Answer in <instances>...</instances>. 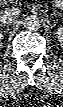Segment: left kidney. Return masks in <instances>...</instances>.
<instances>
[{"instance_id": "left-kidney-1", "label": "left kidney", "mask_w": 63, "mask_h": 107, "mask_svg": "<svg viewBox=\"0 0 63 107\" xmlns=\"http://www.w3.org/2000/svg\"><path fill=\"white\" fill-rule=\"evenodd\" d=\"M57 38H58L60 44L63 45V28H58Z\"/></svg>"}]
</instances>
